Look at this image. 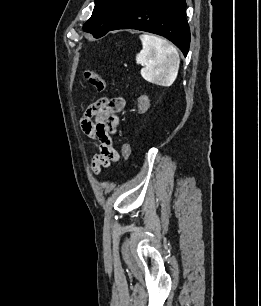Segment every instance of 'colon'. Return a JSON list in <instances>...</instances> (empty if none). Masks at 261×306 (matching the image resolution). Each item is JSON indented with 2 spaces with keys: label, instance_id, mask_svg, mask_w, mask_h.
<instances>
[{
  "label": "colon",
  "instance_id": "1",
  "mask_svg": "<svg viewBox=\"0 0 261 306\" xmlns=\"http://www.w3.org/2000/svg\"><path fill=\"white\" fill-rule=\"evenodd\" d=\"M87 82L97 91L101 92L105 89V80L102 75L96 71L89 70L85 73ZM149 107V97L146 94H141L137 97V113L142 114ZM121 154L125 160H129L132 154L131 147L124 143L121 146Z\"/></svg>",
  "mask_w": 261,
  "mask_h": 306
}]
</instances>
